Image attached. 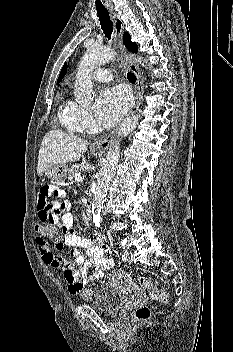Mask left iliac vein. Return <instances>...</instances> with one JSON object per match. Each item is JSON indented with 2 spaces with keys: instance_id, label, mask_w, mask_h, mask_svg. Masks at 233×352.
Returning a JSON list of instances; mask_svg holds the SVG:
<instances>
[{
  "instance_id": "obj_1",
  "label": "left iliac vein",
  "mask_w": 233,
  "mask_h": 352,
  "mask_svg": "<svg viewBox=\"0 0 233 352\" xmlns=\"http://www.w3.org/2000/svg\"><path fill=\"white\" fill-rule=\"evenodd\" d=\"M125 255H126V262H128V263H131L132 262V254H131V252H129V251H127L126 253H125Z\"/></svg>"
}]
</instances>
